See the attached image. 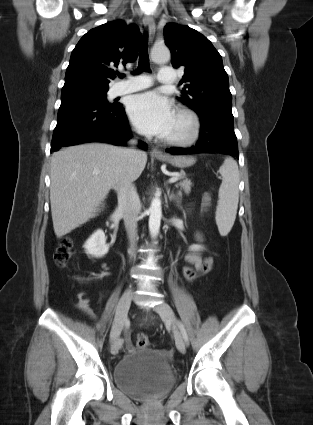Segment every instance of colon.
<instances>
[{
  "label": "colon",
  "mask_w": 313,
  "mask_h": 425,
  "mask_svg": "<svg viewBox=\"0 0 313 425\" xmlns=\"http://www.w3.org/2000/svg\"><path fill=\"white\" fill-rule=\"evenodd\" d=\"M73 253V241L70 238H65L54 252V261L59 267H65ZM214 261L212 257L204 260L202 269L196 270L194 267L187 266L182 270V278L184 282H192L197 277L209 272L213 267ZM137 347L144 349L150 346V341L147 335L141 333L136 338Z\"/></svg>",
  "instance_id": "1"
}]
</instances>
